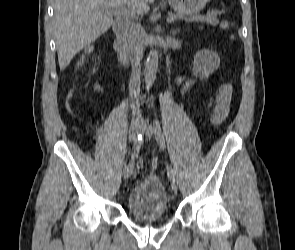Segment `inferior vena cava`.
I'll list each match as a JSON object with an SVG mask.
<instances>
[{
    "mask_svg": "<svg viewBox=\"0 0 295 250\" xmlns=\"http://www.w3.org/2000/svg\"><path fill=\"white\" fill-rule=\"evenodd\" d=\"M144 50V29L140 23H132L129 30V58L132 65V72L129 81V92L131 97V110L135 115H139L140 103L138 95L140 93V61Z\"/></svg>",
    "mask_w": 295,
    "mask_h": 250,
    "instance_id": "inferior-vena-cava-1",
    "label": "inferior vena cava"
}]
</instances>
